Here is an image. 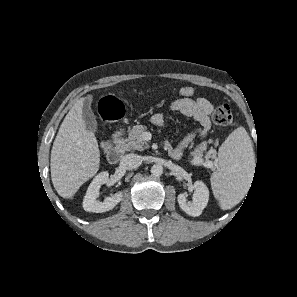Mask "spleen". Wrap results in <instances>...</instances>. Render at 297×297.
Masks as SVG:
<instances>
[{
  "label": "spleen",
  "instance_id": "3e777b00",
  "mask_svg": "<svg viewBox=\"0 0 297 297\" xmlns=\"http://www.w3.org/2000/svg\"><path fill=\"white\" fill-rule=\"evenodd\" d=\"M219 168L211 176V186L221 203L238 202L250 183L255 155L244 127L234 130L219 149Z\"/></svg>",
  "mask_w": 297,
  "mask_h": 297
}]
</instances>
